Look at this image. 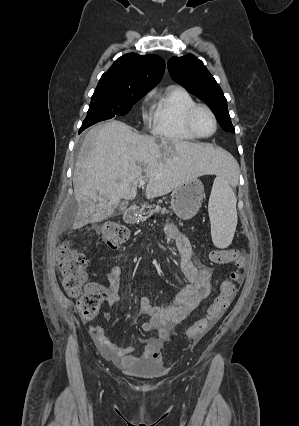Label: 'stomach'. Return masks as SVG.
Segmentation results:
<instances>
[{
  "label": "stomach",
  "mask_w": 299,
  "mask_h": 426,
  "mask_svg": "<svg viewBox=\"0 0 299 426\" xmlns=\"http://www.w3.org/2000/svg\"><path fill=\"white\" fill-rule=\"evenodd\" d=\"M204 198V186L194 179L186 181L174 189L171 198V209L182 220L193 218Z\"/></svg>",
  "instance_id": "stomach-1"
}]
</instances>
